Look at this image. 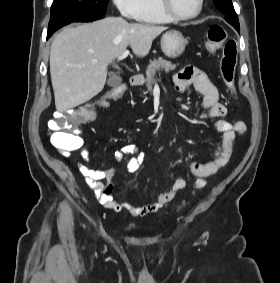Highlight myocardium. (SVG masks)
<instances>
[{
    "label": "myocardium",
    "instance_id": "f54148a6",
    "mask_svg": "<svg viewBox=\"0 0 280 283\" xmlns=\"http://www.w3.org/2000/svg\"><path fill=\"white\" fill-rule=\"evenodd\" d=\"M159 7L161 11L168 16L170 19L175 21H186L191 20L199 16V14L202 12L204 7V0H198V7L196 11L189 15H181L178 14L171 6L170 0H158Z\"/></svg>",
    "mask_w": 280,
    "mask_h": 283
}]
</instances>
